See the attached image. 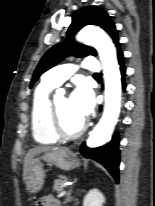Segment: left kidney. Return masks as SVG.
Wrapping results in <instances>:
<instances>
[{"instance_id": "5707ae66", "label": "left kidney", "mask_w": 155, "mask_h": 206, "mask_svg": "<svg viewBox=\"0 0 155 206\" xmlns=\"http://www.w3.org/2000/svg\"><path fill=\"white\" fill-rule=\"evenodd\" d=\"M105 198L98 189L90 190L84 197L83 206H103Z\"/></svg>"}]
</instances>
